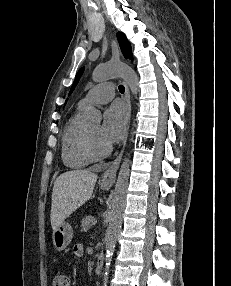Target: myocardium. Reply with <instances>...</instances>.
<instances>
[{
  "label": "myocardium",
  "mask_w": 231,
  "mask_h": 286,
  "mask_svg": "<svg viewBox=\"0 0 231 286\" xmlns=\"http://www.w3.org/2000/svg\"><path fill=\"white\" fill-rule=\"evenodd\" d=\"M82 149L84 154L91 160L97 161L105 158L110 153V147L106 146L103 150H97L90 138L88 130L84 127L82 134Z\"/></svg>",
  "instance_id": "1"
}]
</instances>
